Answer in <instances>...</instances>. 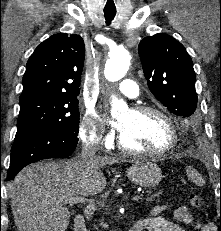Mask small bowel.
Instances as JSON below:
<instances>
[{"label": "small bowel", "instance_id": "c3829d8e", "mask_svg": "<svg viewBox=\"0 0 221 231\" xmlns=\"http://www.w3.org/2000/svg\"><path fill=\"white\" fill-rule=\"evenodd\" d=\"M168 205L155 206L147 218L141 219L135 225L141 228V231H185L176 222L162 218L159 214L165 210ZM175 220L194 231H216L212 223H204L196 220L187 207H178L175 210Z\"/></svg>", "mask_w": 221, "mask_h": 231}]
</instances>
